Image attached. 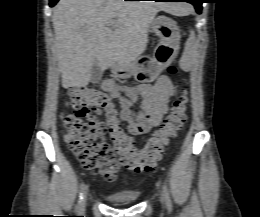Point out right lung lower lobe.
I'll list each match as a JSON object with an SVG mask.
<instances>
[{"label":"right lung lower lobe","mask_w":260,"mask_h":217,"mask_svg":"<svg viewBox=\"0 0 260 217\" xmlns=\"http://www.w3.org/2000/svg\"><path fill=\"white\" fill-rule=\"evenodd\" d=\"M59 0H50V6L53 7ZM127 1V0H126Z\"/></svg>","instance_id":"98d812e1"}]
</instances>
